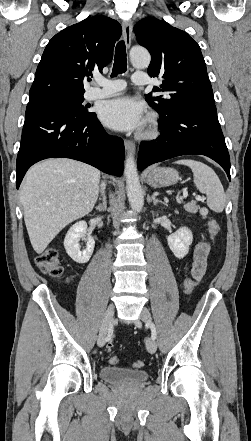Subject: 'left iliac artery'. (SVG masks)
I'll use <instances>...</instances> for the list:
<instances>
[{
  "label": "left iliac artery",
  "instance_id": "1",
  "mask_svg": "<svg viewBox=\"0 0 251 441\" xmlns=\"http://www.w3.org/2000/svg\"><path fill=\"white\" fill-rule=\"evenodd\" d=\"M148 325L150 326V328H151V332H152V336H151V338H152L153 340H155V339H156V336H157V332H156L155 325H154L153 323H149Z\"/></svg>",
  "mask_w": 251,
  "mask_h": 441
}]
</instances>
